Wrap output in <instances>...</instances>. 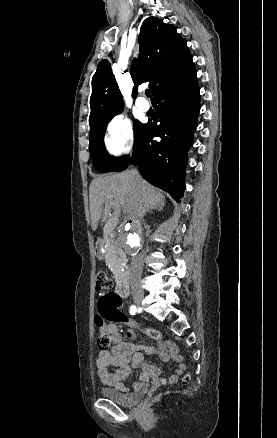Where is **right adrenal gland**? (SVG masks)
<instances>
[{
  "mask_svg": "<svg viewBox=\"0 0 277 438\" xmlns=\"http://www.w3.org/2000/svg\"><path fill=\"white\" fill-rule=\"evenodd\" d=\"M163 206L164 204H159V206H156L155 210H157V212H161V210H163ZM150 210H145L144 214H149ZM143 216V214H142Z\"/></svg>",
  "mask_w": 277,
  "mask_h": 438,
  "instance_id": "2a0ac1e0",
  "label": "right adrenal gland"
}]
</instances>
